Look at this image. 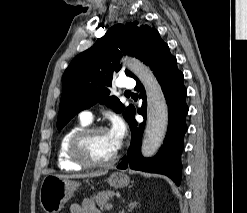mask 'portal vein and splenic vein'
I'll list each match as a JSON object with an SVG mask.
<instances>
[{
	"label": "portal vein and splenic vein",
	"instance_id": "portal-vein-and-splenic-vein-1",
	"mask_svg": "<svg viewBox=\"0 0 247 213\" xmlns=\"http://www.w3.org/2000/svg\"><path fill=\"white\" fill-rule=\"evenodd\" d=\"M112 207H113L112 203H107V205H106V209L107 210L112 209Z\"/></svg>",
	"mask_w": 247,
	"mask_h": 213
}]
</instances>
